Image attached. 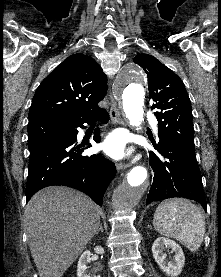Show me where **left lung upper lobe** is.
Returning <instances> with one entry per match:
<instances>
[{
  "instance_id": "5c2ea615",
  "label": "left lung upper lobe",
  "mask_w": 221,
  "mask_h": 277,
  "mask_svg": "<svg viewBox=\"0 0 221 277\" xmlns=\"http://www.w3.org/2000/svg\"><path fill=\"white\" fill-rule=\"evenodd\" d=\"M133 61L147 74L159 138L195 155L191 103L183 81L151 55L138 54Z\"/></svg>"
}]
</instances>
